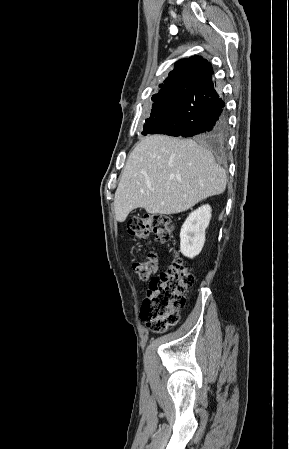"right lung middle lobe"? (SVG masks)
I'll use <instances>...</instances> for the list:
<instances>
[{
  "label": "right lung middle lobe",
  "mask_w": 289,
  "mask_h": 449,
  "mask_svg": "<svg viewBox=\"0 0 289 449\" xmlns=\"http://www.w3.org/2000/svg\"><path fill=\"white\" fill-rule=\"evenodd\" d=\"M154 101L151 117L146 120L142 134H155L164 123L174 119V112L168 93L158 94L152 97Z\"/></svg>",
  "instance_id": "dd1d6c3e"
}]
</instances>
